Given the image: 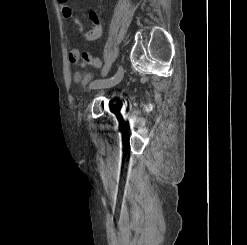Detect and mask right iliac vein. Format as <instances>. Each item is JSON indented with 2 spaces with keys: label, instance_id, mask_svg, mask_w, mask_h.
Returning a JSON list of instances; mask_svg holds the SVG:
<instances>
[{
  "label": "right iliac vein",
  "instance_id": "1",
  "mask_svg": "<svg viewBox=\"0 0 247 245\" xmlns=\"http://www.w3.org/2000/svg\"><path fill=\"white\" fill-rule=\"evenodd\" d=\"M123 73H124L123 68L119 67L117 73L112 78H109L106 81L98 80L99 81L98 87H92V88L94 89L111 88L121 81L123 77Z\"/></svg>",
  "mask_w": 247,
  "mask_h": 245
}]
</instances>
